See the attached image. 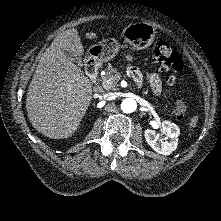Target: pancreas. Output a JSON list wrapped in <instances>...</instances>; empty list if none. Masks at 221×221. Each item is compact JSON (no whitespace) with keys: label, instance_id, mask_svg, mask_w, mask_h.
I'll return each mask as SVG.
<instances>
[{"label":"pancreas","instance_id":"pancreas-1","mask_svg":"<svg viewBox=\"0 0 221 221\" xmlns=\"http://www.w3.org/2000/svg\"><path fill=\"white\" fill-rule=\"evenodd\" d=\"M121 78V73L117 71L111 64L107 66V75L102 77L103 86L106 85V81L112 79V83L109 86H105L104 88L107 90H114L117 82Z\"/></svg>","mask_w":221,"mask_h":221}]
</instances>
